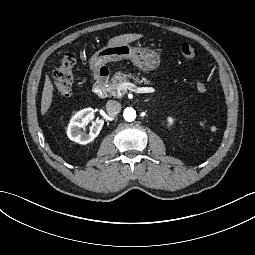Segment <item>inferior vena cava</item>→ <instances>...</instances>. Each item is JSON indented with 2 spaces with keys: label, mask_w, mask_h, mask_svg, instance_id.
Returning a JSON list of instances; mask_svg holds the SVG:
<instances>
[{
  "label": "inferior vena cava",
  "mask_w": 255,
  "mask_h": 255,
  "mask_svg": "<svg viewBox=\"0 0 255 255\" xmlns=\"http://www.w3.org/2000/svg\"><path fill=\"white\" fill-rule=\"evenodd\" d=\"M106 109L110 116H116L121 110V104L118 101L109 100Z\"/></svg>",
  "instance_id": "1"
}]
</instances>
